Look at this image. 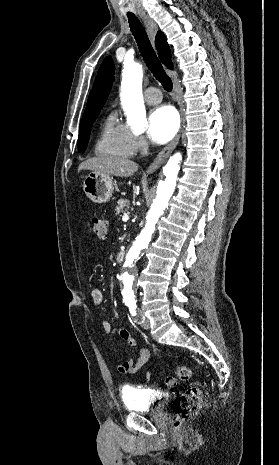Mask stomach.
<instances>
[{"label":"stomach","mask_w":279,"mask_h":465,"mask_svg":"<svg viewBox=\"0 0 279 465\" xmlns=\"http://www.w3.org/2000/svg\"><path fill=\"white\" fill-rule=\"evenodd\" d=\"M114 187L113 180L108 175L96 172L89 173L83 181V191L94 203H105L112 196Z\"/></svg>","instance_id":"obj_1"}]
</instances>
